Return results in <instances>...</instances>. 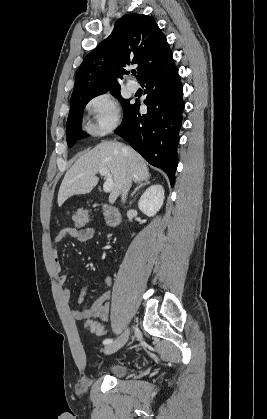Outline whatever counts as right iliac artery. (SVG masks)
Masks as SVG:
<instances>
[{"label": "right iliac artery", "instance_id": "obj_1", "mask_svg": "<svg viewBox=\"0 0 267 419\" xmlns=\"http://www.w3.org/2000/svg\"><path fill=\"white\" fill-rule=\"evenodd\" d=\"M112 342H113V340H112V339H105V340L103 341V344L107 345V344H110V343H112Z\"/></svg>", "mask_w": 267, "mask_h": 419}]
</instances>
